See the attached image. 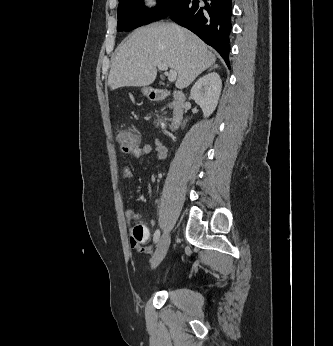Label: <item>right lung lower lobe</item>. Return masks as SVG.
I'll return each instance as SVG.
<instances>
[{
    "label": "right lung lower lobe",
    "instance_id": "obj_1",
    "mask_svg": "<svg viewBox=\"0 0 333 346\" xmlns=\"http://www.w3.org/2000/svg\"><path fill=\"white\" fill-rule=\"evenodd\" d=\"M232 0H181L169 17L212 46L229 67Z\"/></svg>",
    "mask_w": 333,
    "mask_h": 346
}]
</instances>
